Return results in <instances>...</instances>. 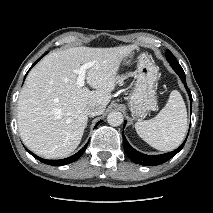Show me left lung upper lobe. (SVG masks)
I'll return each instance as SVG.
<instances>
[{"mask_svg":"<svg viewBox=\"0 0 213 213\" xmlns=\"http://www.w3.org/2000/svg\"><path fill=\"white\" fill-rule=\"evenodd\" d=\"M166 57H167L168 62L170 63V65L172 66V68L174 69V71L176 73L177 72L184 73L182 67L177 62L175 56L169 50L166 51Z\"/></svg>","mask_w":213,"mask_h":213,"instance_id":"1","label":"left lung upper lobe"}]
</instances>
